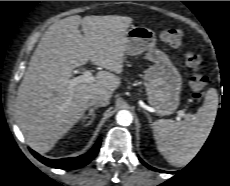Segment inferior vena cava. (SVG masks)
I'll return each mask as SVG.
<instances>
[{"instance_id": "obj_1", "label": "inferior vena cava", "mask_w": 230, "mask_h": 186, "mask_svg": "<svg viewBox=\"0 0 230 186\" xmlns=\"http://www.w3.org/2000/svg\"><path fill=\"white\" fill-rule=\"evenodd\" d=\"M110 98L105 94H94L90 98V105L105 107L109 105Z\"/></svg>"}]
</instances>
